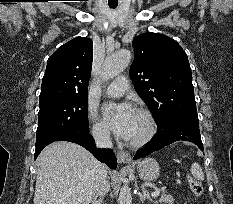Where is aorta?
Listing matches in <instances>:
<instances>
[{"mask_svg": "<svg viewBox=\"0 0 233 204\" xmlns=\"http://www.w3.org/2000/svg\"><path fill=\"white\" fill-rule=\"evenodd\" d=\"M132 58L131 52L122 49L108 56L103 65L102 78L109 80L119 75L130 63ZM119 204H132L131 190L124 185L120 189Z\"/></svg>", "mask_w": 233, "mask_h": 204, "instance_id": "obj_1", "label": "aorta"}]
</instances>
